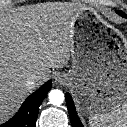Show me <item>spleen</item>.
Instances as JSON below:
<instances>
[{"mask_svg": "<svg viewBox=\"0 0 127 127\" xmlns=\"http://www.w3.org/2000/svg\"><path fill=\"white\" fill-rule=\"evenodd\" d=\"M90 127H127V101L109 113L94 114L89 118Z\"/></svg>", "mask_w": 127, "mask_h": 127, "instance_id": "3e777b00", "label": "spleen"}]
</instances>
